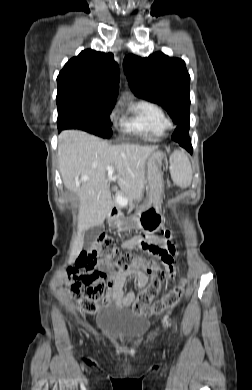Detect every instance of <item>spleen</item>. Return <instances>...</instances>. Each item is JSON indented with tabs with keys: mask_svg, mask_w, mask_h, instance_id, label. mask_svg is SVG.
<instances>
[{
	"mask_svg": "<svg viewBox=\"0 0 252 390\" xmlns=\"http://www.w3.org/2000/svg\"><path fill=\"white\" fill-rule=\"evenodd\" d=\"M170 174L177 186L187 188L192 181V169L189 159L182 151H175L170 156Z\"/></svg>",
	"mask_w": 252,
	"mask_h": 390,
	"instance_id": "obj_1",
	"label": "spleen"
}]
</instances>
